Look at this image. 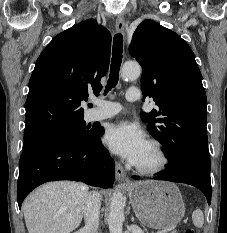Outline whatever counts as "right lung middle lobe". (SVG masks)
Masks as SVG:
<instances>
[{"mask_svg":"<svg viewBox=\"0 0 227 233\" xmlns=\"http://www.w3.org/2000/svg\"><path fill=\"white\" fill-rule=\"evenodd\" d=\"M94 132L95 129H89L83 121V117H81L39 133L24 135L23 149L54 140L72 141L87 139L91 137Z\"/></svg>","mask_w":227,"mask_h":233,"instance_id":"right-lung-middle-lobe-1","label":"right lung middle lobe"}]
</instances>
